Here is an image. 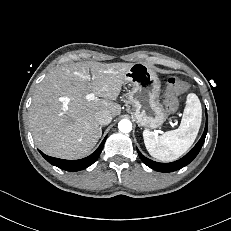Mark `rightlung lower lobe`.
<instances>
[{
    "label": "right lung lower lobe",
    "instance_id": "obj_1",
    "mask_svg": "<svg viewBox=\"0 0 231 231\" xmlns=\"http://www.w3.org/2000/svg\"><path fill=\"white\" fill-rule=\"evenodd\" d=\"M105 140H106V137L104 138V140L102 141V143L100 144V146L97 148V150L94 153H92L88 157H85V158L79 159V160H74V161L50 157V156L45 155L41 151H39V152L50 164L57 166L60 169H63L66 171H73V172L74 171H80V170H83V169L89 167L98 159V157H99V155L103 149Z\"/></svg>",
    "mask_w": 231,
    "mask_h": 231
}]
</instances>
